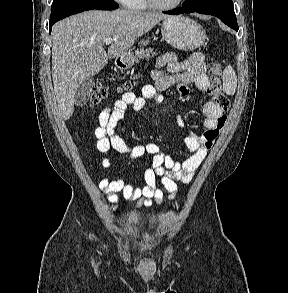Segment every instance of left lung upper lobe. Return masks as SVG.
<instances>
[{
  "instance_id": "left-lung-upper-lobe-1",
  "label": "left lung upper lobe",
  "mask_w": 288,
  "mask_h": 293,
  "mask_svg": "<svg viewBox=\"0 0 288 293\" xmlns=\"http://www.w3.org/2000/svg\"><path fill=\"white\" fill-rule=\"evenodd\" d=\"M184 7L217 10L234 16L232 0H185Z\"/></svg>"
}]
</instances>
